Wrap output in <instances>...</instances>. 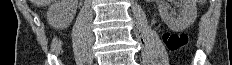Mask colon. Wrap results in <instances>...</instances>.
Returning a JSON list of instances; mask_svg holds the SVG:
<instances>
[{"label":"colon","instance_id":"obj_1","mask_svg":"<svg viewBox=\"0 0 232 65\" xmlns=\"http://www.w3.org/2000/svg\"><path fill=\"white\" fill-rule=\"evenodd\" d=\"M188 38L185 34H166L164 36V42L166 47L171 50L175 51L184 45L187 44Z\"/></svg>","mask_w":232,"mask_h":65}]
</instances>
